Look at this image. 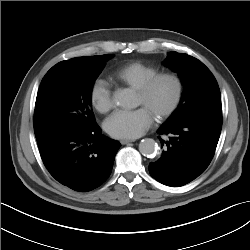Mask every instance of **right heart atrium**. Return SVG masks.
I'll list each match as a JSON object with an SVG mask.
<instances>
[{
	"instance_id": "1",
	"label": "right heart atrium",
	"mask_w": 250,
	"mask_h": 250,
	"mask_svg": "<svg viewBox=\"0 0 250 250\" xmlns=\"http://www.w3.org/2000/svg\"><path fill=\"white\" fill-rule=\"evenodd\" d=\"M89 99L98 112L106 113L111 110L114 102L108 81L103 78H96L90 86Z\"/></svg>"
}]
</instances>
